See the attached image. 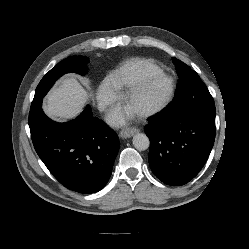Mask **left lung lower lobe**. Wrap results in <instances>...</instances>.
Here are the masks:
<instances>
[{
  "label": "left lung lower lobe",
  "instance_id": "left-lung-lower-lobe-1",
  "mask_svg": "<svg viewBox=\"0 0 249 249\" xmlns=\"http://www.w3.org/2000/svg\"><path fill=\"white\" fill-rule=\"evenodd\" d=\"M215 116V110L206 109L149 120L144 129L150 139L149 164L158 179L177 186L199 173L214 144Z\"/></svg>",
  "mask_w": 249,
  "mask_h": 249
}]
</instances>
